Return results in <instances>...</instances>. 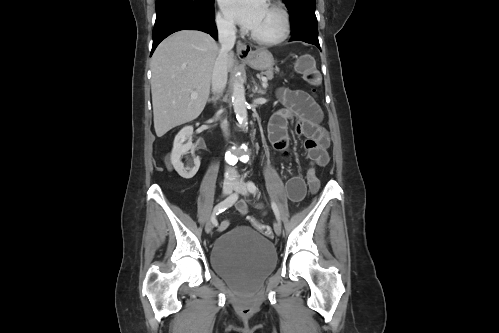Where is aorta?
I'll use <instances>...</instances> for the list:
<instances>
[{
    "mask_svg": "<svg viewBox=\"0 0 499 333\" xmlns=\"http://www.w3.org/2000/svg\"><path fill=\"white\" fill-rule=\"evenodd\" d=\"M232 104L237 120L242 126H246L248 124V114L245 89L243 84L238 80L233 84Z\"/></svg>",
    "mask_w": 499,
    "mask_h": 333,
    "instance_id": "1",
    "label": "aorta"
}]
</instances>
